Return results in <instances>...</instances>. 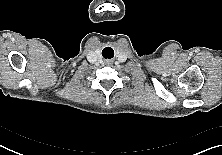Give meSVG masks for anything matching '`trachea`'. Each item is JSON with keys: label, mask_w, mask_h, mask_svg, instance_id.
Here are the masks:
<instances>
[{"label": "trachea", "mask_w": 222, "mask_h": 155, "mask_svg": "<svg viewBox=\"0 0 222 155\" xmlns=\"http://www.w3.org/2000/svg\"><path fill=\"white\" fill-rule=\"evenodd\" d=\"M106 52H110L111 54H114L113 49H112V48H109V47H107V48H105V49L103 50V53H104V54H105Z\"/></svg>", "instance_id": "1"}]
</instances>
